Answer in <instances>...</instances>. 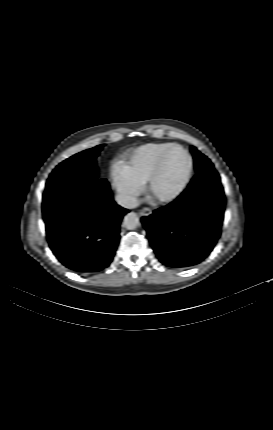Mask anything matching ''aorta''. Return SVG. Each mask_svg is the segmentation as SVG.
Wrapping results in <instances>:
<instances>
[{"instance_id":"obj_1","label":"aorta","mask_w":273,"mask_h":430,"mask_svg":"<svg viewBox=\"0 0 273 430\" xmlns=\"http://www.w3.org/2000/svg\"><path fill=\"white\" fill-rule=\"evenodd\" d=\"M123 224L126 229L134 230L140 225L139 217L136 213H128L123 220Z\"/></svg>"}]
</instances>
